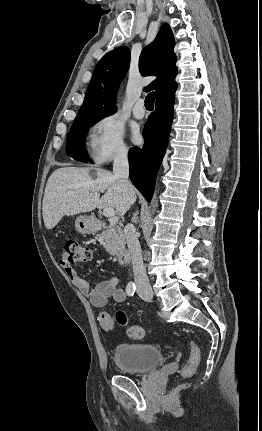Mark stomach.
I'll return each mask as SVG.
<instances>
[{
  "instance_id": "obj_1",
  "label": "stomach",
  "mask_w": 262,
  "mask_h": 431,
  "mask_svg": "<svg viewBox=\"0 0 262 431\" xmlns=\"http://www.w3.org/2000/svg\"><path fill=\"white\" fill-rule=\"evenodd\" d=\"M76 230L82 234H94L97 231L96 221L92 216H79L75 221Z\"/></svg>"
}]
</instances>
